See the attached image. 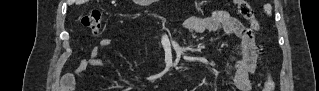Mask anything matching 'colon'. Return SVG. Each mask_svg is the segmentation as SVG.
Segmentation results:
<instances>
[{
	"mask_svg": "<svg viewBox=\"0 0 319 91\" xmlns=\"http://www.w3.org/2000/svg\"><path fill=\"white\" fill-rule=\"evenodd\" d=\"M234 4L236 5L238 13L245 20L249 22L253 30L257 31L259 28V25L249 3L244 0H235ZM81 24L85 29L89 30L92 34H98L101 31L103 26L102 11L97 8L91 9L88 13L82 16ZM272 90H274V82L270 77H268L264 83L263 91H272Z\"/></svg>",
	"mask_w": 319,
	"mask_h": 91,
	"instance_id": "1",
	"label": "colon"
}]
</instances>
